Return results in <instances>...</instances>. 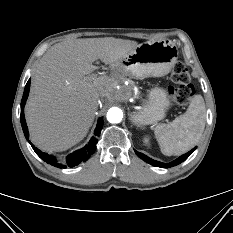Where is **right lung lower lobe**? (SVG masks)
I'll return each instance as SVG.
<instances>
[{"label":"right lung lower lobe","instance_id":"1","mask_svg":"<svg viewBox=\"0 0 233 233\" xmlns=\"http://www.w3.org/2000/svg\"><path fill=\"white\" fill-rule=\"evenodd\" d=\"M29 88H30V80L27 82V84L25 86L24 94H23L22 101H21V115H20L21 125H22L23 132H24V135H25L27 140L29 137V133H28V128L26 125L25 117H24V106H25V102H26L28 94H29ZM102 127H103V118H100L98 123H97V127L94 131L95 137H92L89 144L86 145L84 148L70 154L67 157V162H68L69 167H74V166L78 165L80 162L88 160V158L95 152L96 144L98 142L96 137L99 136V134L102 130ZM29 143L31 144V142H29ZM31 146L34 149V151L36 152V154L46 163L53 165L55 167H58V168H65V166L58 164L53 156L48 155L47 153L40 151L32 144H31Z\"/></svg>","mask_w":233,"mask_h":233}]
</instances>
